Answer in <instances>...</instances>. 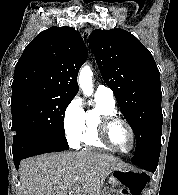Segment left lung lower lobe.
Segmentation results:
<instances>
[{
	"label": "left lung lower lobe",
	"mask_w": 178,
	"mask_h": 195,
	"mask_svg": "<svg viewBox=\"0 0 178 195\" xmlns=\"http://www.w3.org/2000/svg\"><path fill=\"white\" fill-rule=\"evenodd\" d=\"M160 151L161 146L136 153L131 161L135 165L154 173L158 165Z\"/></svg>",
	"instance_id": "left-lung-lower-lobe-1"
}]
</instances>
